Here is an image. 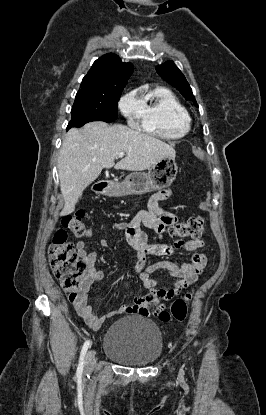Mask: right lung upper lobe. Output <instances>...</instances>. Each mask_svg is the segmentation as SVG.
<instances>
[{
    "mask_svg": "<svg viewBox=\"0 0 266 415\" xmlns=\"http://www.w3.org/2000/svg\"><path fill=\"white\" fill-rule=\"evenodd\" d=\"M132 72L131 63L122 62L114 53L105 54L93 63L77 94L110 95L122 92Z\"/></svg>",
    "mask_w": 266,
    "mask_h": 415,
    "instance_id": "1",
    "label": "right lung upper lobe"
}]
</instances>
